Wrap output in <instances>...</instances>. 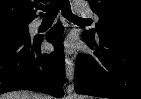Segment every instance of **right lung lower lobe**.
I'll return each instance as SVG.
<instances>
[{
    "mask_svg": "<svg viewBox=\"0 0 141 99\" xmlns=\"http://www.w3.org/2000/svg\"><path fill=\"white\" fill-rule=\"evenodd\" d=\"M62 26L53 27L46 38L55 51L42 54L43 38L0 35V94L14 90H32L63 96L65 62Z\"/></svg>",
    "mask_w": 141,
    "mask_h": 99,
    "instance_id": "right-lung-lower-lobe-1",
    "label": "right lung lower lobe"
}]
</instances>
